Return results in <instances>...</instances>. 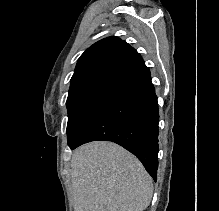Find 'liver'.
<instances>
[{
  "label": "liver",
  "mask_w": 219,
  "mask_h": 211,
  "mask_svg": "<svg viewBox=\"0 0 219 211\" xmlns=\"http://www.w3.org/2000/svg\"><path fill=\"white\" fill-rule=\"evenodd\" d=\"M69 181L74 211H143L153 181L141 161L113 141H90L75 149Z\"/></svg>",
  "instance_id": "1"
}]
</instances>
